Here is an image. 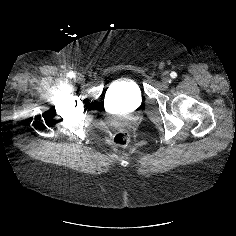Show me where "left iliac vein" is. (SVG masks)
Wrapping results in <instances>:
<instances>
[{"label": "left iliac vein", "instance_id": "4c4485c4", "mask_svg": "<svg viewBox=\"0 0 236 236\" xmlns=\"http://www.w3.org/2000/svg\"><path fill=\"white\" fill-rule=\"evenodd\" d=\"M162 81H163L164 83H168V82L170 81V77H169L168 73H164V74L162 75Z\"/></svg>", "mask_w": 236, "mask_h": 236}]
</instances>
